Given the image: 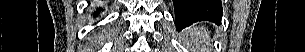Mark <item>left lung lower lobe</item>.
<instances>
[{"instance_id": "0a47b994", "label": "left lung lower lobe", "mask_w": 305, "mask_h": 52, "mask_svg": "<svg viewBox=\"0 0 305 52\" xmlns=\"http://www.w3.org/2000/svg\"><path fill=\"white\" fill-rule=\"evenodd\" d=\"M175 14L178 15L185 10L198 9L207 13L205 20L219 23L222 16L221 0H173ZM177 29L185 28L189 25L175 24Z\"/></svg>"}]
</instances>
